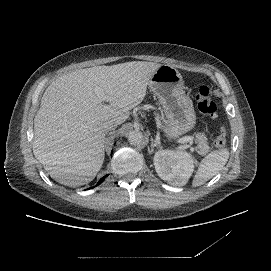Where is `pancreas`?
Returning <instances> with one entry per match:
<instances>
[{
  "instance_id": "pancreas-1",
  "label": "pancreas",
  "mask_w": 271,
  "mask_h": 271,
  "mask_svg": "<svg viewBox=\"0 0 271 271\" xmlns=\"http://www.w3.org/2000/svg\"><path fill=\"white\" fill-rule=\"evenodd\" d=\"M196 138H197V141H198V145H197L198 151H197V153L199 155L207 154L212 148H211V146L209 144V141L207 140L205 134L204 133H202V134L197 133Z\"/></svg>"
}]
</instances>
